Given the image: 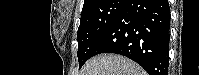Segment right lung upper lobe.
Returning <instances> with one entry per match:
<instances>
[{
	"label": "right lung upper lobe",
	"mask_w": 199,
	"mask_h": 75,
	"mask_svg": "<svg viewBox=\"0 0 199 75\" xmlns=\"http://www.w3.org/2000/svg\"><path fill=\"white\" fill-rule=\"evenodd\" d=\"M105 0H84L83 9L90 8L92 6H97L103 3Z\"/></svg>",
	"instance_id": "right-lung-upper-lobe-1"
}]
</instances>
